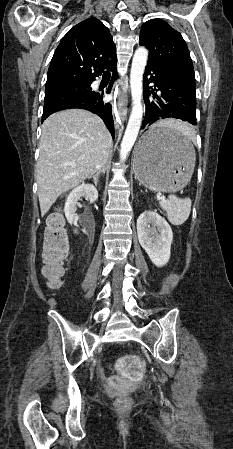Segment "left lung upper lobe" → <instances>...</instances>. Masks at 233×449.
I'll use <instances>...</instances> for the list:
<instances>
[{"label": "left lung upper lobe", "mask_w": 233, "mask_h": 449, "mask_svg": "<svg viewBox=\"0 0 233 449\" xmlns=\"http://www.w3.org/2000/svg\"><path fill=\"white\" fill-rule=\"evenodd\" d=\"M140 45L149 50L148 63L195 89L192 60L178 31L161 19H151L142 25Z\"/></svg>", "instance_id": "obj_1"}]
</instances>
